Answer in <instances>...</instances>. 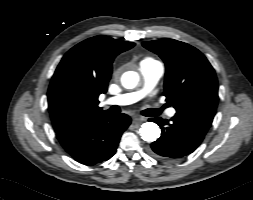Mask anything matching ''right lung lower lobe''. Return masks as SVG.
Returning a JSON list of instances; mask_svg holds the SVG:
<instances>
[{"label":"right lung lower lobe","mask_w":253,"mask_h":200,"mask_svg":"<svg viewBox=\"0 0 253 200\" xmlns=\"http://www.w3.org/2000/svg\"><path fill=\"white\" fill-rule=\"evenodd\" d=\"M125 114H104L94 120L57 132L63 148L78 162L94 165L110 159L130 125Z\"/></svg>","instance_id":"98d812e1"}]
</instances>
